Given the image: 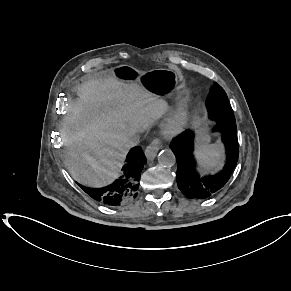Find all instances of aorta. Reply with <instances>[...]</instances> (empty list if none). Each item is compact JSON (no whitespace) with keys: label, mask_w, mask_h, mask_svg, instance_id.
<instances>
[{"label":"aorta","mask_w":291,"mask_h":291,"mask_svg":"<svg viewBox=\"0 0 291 291\" xmlns=\"http://www.w3.org/2000/svg\"><path fill=\"white\" fill-rule=\"evenodd\" d=\"M158 162L163 167H172L176 162V158L170 149H165L158 154Z\"/></svg>","instance_id":"aorta-1"}]
</instances>
